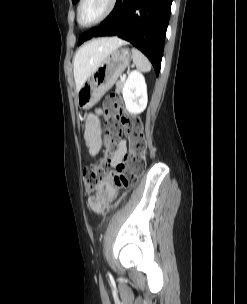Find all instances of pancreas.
<instances>
[{
	"label": "pancreas",
	"mask_w": 247,
	"mask_h": 304,
	"mask_svg": "<svg viewBox=\"0 0 247 304\" xmlns=\"http://www.w3.org/2000/svg\"><path fill=\"white\" fill-rule=\"evenodd\" d=\"M123 85H124V80L118 81V82L116 83V92L119 93V92L122 90Z\"/></svg>",
	"instance_id": "pancreas-1"
}]
</instances>
